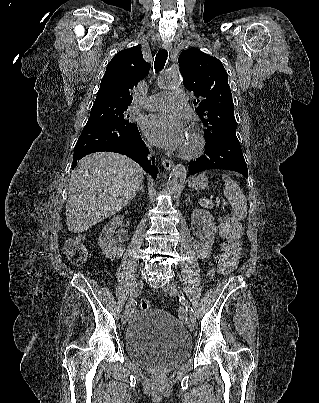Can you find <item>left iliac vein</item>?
I'll return each instance as SVG.
<instances>
[{
    "instance_id": "1",
    "label": "left iliac vein",
    "mask_w": 319,
    "mask_h": 403,
    "mask_svg": "<svg viewBox=\"0 0 319 403\" xmlns=\"http://www.w3.org/2000/svg\"><path fill=\"white\" fill-rule=\"evenodd\" d=\"M164 291L170 295L177 296L176 286L172 282H168L164 286ZM187 326L190 331H193L195 329V322L193 321V319L191 317H189V319L187 320Z\"/></svg>"
}]
</instances>
